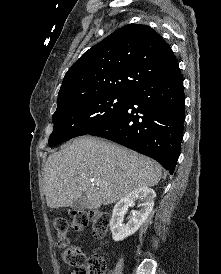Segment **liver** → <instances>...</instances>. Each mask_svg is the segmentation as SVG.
<instances>
[{"label":"liver","mask_w":221,"mask_h":274,"mask_svg":"<svg viewBox=\"0 0 221 274\" xmlns=\"http://www.w3.org/2000/svg\"><path fill=\"white\" fill-rule=\"evenodd\" d=\"M161 176L162 168L154 160L106 140L82 136L48 157L43 190L49 208L72 206L84 193L87 208L98 209L139 188L157 185Z\"/></svg>","instance_id":"liver-1"}]
</instances>
